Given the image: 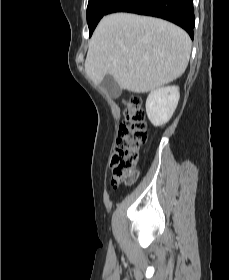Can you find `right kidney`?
<instances>
[{"label":"right kidney","mask_w":229,"mask_h":280,"mask_svg":"<svg viewBox=\"0 0 229 280\" xmlns=\"http://www.w3.org/2000/svg\"><path fill=\"white\" fill-rule=\"evenodd\" d=\"M180 98L179 87L167 86L152 91L146 100V113L154 126L166 124L172 117Z\"/></svg>","instance_id":"ca27d5eb"}]
</instances>
